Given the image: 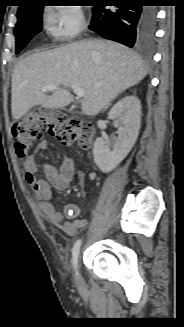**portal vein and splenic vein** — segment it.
<instances>
[{"mask_svg":"<svg viewBox=\"0 0 184 327\" xmlns=\"http://www.w3.org/2000/svg\"><path fill=\"white\" fill-rule=\"evenodd\" d=\"M58 85L57 84H49V85H45L41 88L42 92H49V91H54L56 89H58ZM71 88L73 90V92L76 94V96L78 98H82L85 95V90L77 85H71Z\"/></svg>","mask_w":184,"mask_h":327,"instance_id":"18ae733b","label":"portal vein and splenic vein"}]
</instances>
